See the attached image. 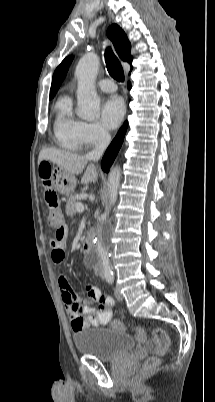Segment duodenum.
<instances>
[{
  "label": "duodenum",
  "instance_id": "1",
  "mask_svg": "<svg viewBox=\"0 0 215 402\" xmlns=\"http://www.w3.org/2000/svg\"><path fill=\"white\" fill-rule=\"evenodd\" d=\"M93 246V233L89 232L82 243L81 250L85 255H88L91 253ZM98 270L101 271V268L99 267Z\"/></svg>",
  "mask_w": 215,
  "mask_h": 402
}]
</instances>
